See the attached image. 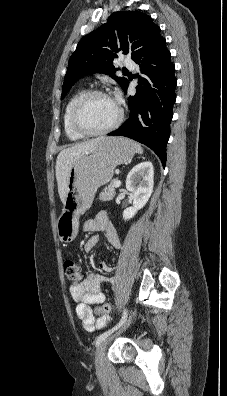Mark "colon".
<instances>
[{
  "label": "colon",
  "mask_w": 227,
  "mask_h": 396,
  "mask_svg": "<svg viewBox=\"0 0 227 396\" xmlns=\"http://www.w3.org/2000/svg\"><path fill=\"white\" fill-rule=\"evenodd\" d=\"M64 273L67 279L73 283L77 284L81 281V273L77 264L72 260H67L64 262ZM112 306L108 303H104L96 308V313L99 315H106L110 313Z\"/></svg>",
  "instance_id": "obj_1"
}]
</instances>
